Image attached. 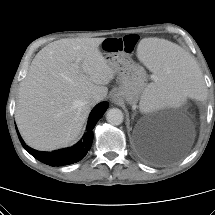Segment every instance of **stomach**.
Instances as JSON below:
<instances>
[{
	"label": "stomach",
	"instance_id": "1",
	"mask_svg": "<svg viewBox=\"0 0 215 215\" xmlns=\"http://www.w3.org/2000/svg\"><path fill=\"white\" fill-rule=\"evenodd\" d=\"M105 54L108 64L117 75L119 87L115 96L129 104H135L145 87L146 73L144 68L135 63L131 56L123 51L106 52Z\"/></svg>",
	"mask_w": 215,
	"mask_h": 215
}]
</instances>
